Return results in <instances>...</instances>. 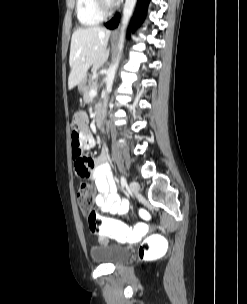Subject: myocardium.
<instances>
[{
    "label": "myocardium",
    "mask_w": 247,
    "mask_h": 304,
    "mask_svg": "<svg viewBox=\"0 0 247 304\" xmlns=\"http://www.w3.org/2000/svg\"><path fill=\"white\" fill-rule=\"evenodd\" d=\"M94 2L96 11L103 18L110 16L115 10V5L113 3L108 4L106 0H94Z\"/></svg>",
    "instance_id": "myocardium-1"
}]
</instances>
